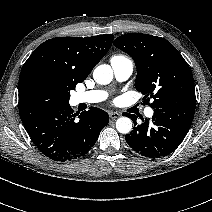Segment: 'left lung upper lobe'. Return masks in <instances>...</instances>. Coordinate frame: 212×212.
Wrapping results in <instances>:
<instances>
[{
    "mask_svg": "<svg viewBox=\"0 0 212 212\" xmlns=\"http://www.w3.org/2000/svg\"><path fill=\"white\" fill-rule=\"evenodd\" d=\"M114 45L133 58L137 68L135 87L144 95L145 104L158 109L181 101L196 102L191 69L169 41L128 33L115 39Z\"/></svg>",
    "mask_w": 212,
    "mask_h": 212,
    "instance_id": "obj_1",
    "label": "left lung upper lobe"
}]
</instances>
